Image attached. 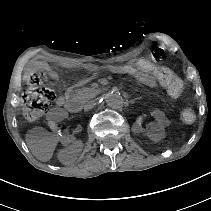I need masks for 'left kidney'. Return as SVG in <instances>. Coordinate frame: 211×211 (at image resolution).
Wrapping results in <instances>:
<instances>
[{
	"label": "left kidney",
	"instance_id": "left-kidney-1",
	"mask_svg": "<svg viewBox=\"0 0 211 211\" xmlns=\"http://www.w3.org/2000/svg\"><path fill=\"white\" fill-rule=\"evenodd\" d=\"M152 117L155 125L146 126L147 117L144 114H139L136 117V124L134 130L137 133H142L146 137L161 136L164 133L165 128H169L172 125V120L169 117H164L163 111L160 108H155L152 111Z\"/></svg>",
	"mask_w": 211,
	"mask_h": 211
}]
</instances>
